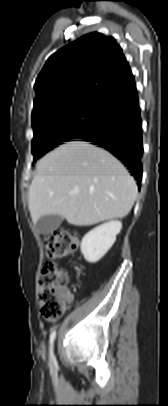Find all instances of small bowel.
Masks as SVG:
<instances>
[{
  "mask_svg": "<svg viewBox=\"0 0 168 406\" xmlns=\"http://www.w3.org/2000/svg\"><path fill=\"white\" fill-rule=\"evenodd\" d=\"M73 299V295L70 291L66 290V301L70 303Z\"/></svg>",
  "mask_w": 168,
  "mask_h": 406,
  "instance_id": "small-bowel-1",
  "label": "small bowel"
}]
</instances>
